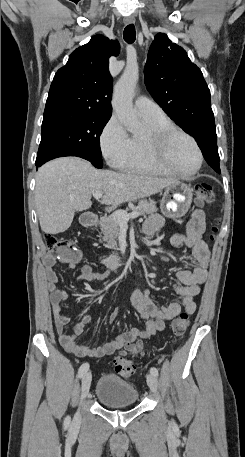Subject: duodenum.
I'll return each mask as SVG.
<instances>
[{"label": "duodenum", "instance_id": "duodenum-1", "mask_svg": "<svg viewBox=\"0 0 245 457\" xmlns=\"http://www.w3.org/2000/svg\"><path fill=\"white\" fill-rule=\"evenodd\" d=\"M97 223V216L94 214H89L84 216L83 224L85 226H94ZM106 266L111 270H119L126 268L131 265L132 261L129 258L125 257H115L111 256L104 260Z\"/></svg>", "mask_w": 245, "mask_h": 457}]
</instances>
